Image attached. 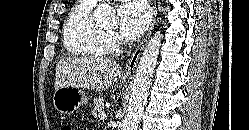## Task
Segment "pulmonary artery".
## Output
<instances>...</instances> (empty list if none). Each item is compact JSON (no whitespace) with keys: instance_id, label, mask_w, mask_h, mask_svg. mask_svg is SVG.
<instances>
[{"instance_id":"e3ab8cb5","label":"pulmonary artery","mask_w":249,"mask_h":130,"mask_svg":"<svg viewBox=\"0 0 249 130\" xmlns=\"http://www.w3.org/2000/svg\"><path fill=\"white\" fill-rule=\"evenodd\" d=\"M93 1L98 2V1H106V0H93Z\"/></svg>"}]
</instances>
